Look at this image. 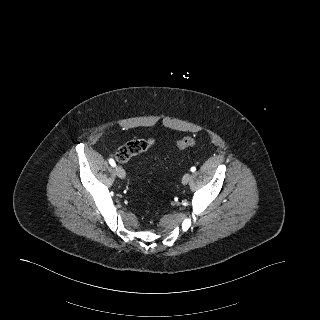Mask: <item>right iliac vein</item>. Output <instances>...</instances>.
<instances>
[{
	"label": "right iliac vein",
	"instance_id": "right-iliac-vein-1",
	"mask_svg": "<svg viewBox=\"0 0 320 320\" xmlns=\"http://www.w3.org/2000/svg\"><path fill=\"white\" fill-rule=\"evenodd\" d=\"M115 171L119 178L124 179L126 177L125 170L121 166H116Z\"/></svg>",
	"mask_w": 320,
	"mask_h": 320
}]
</instances>
